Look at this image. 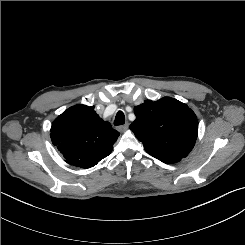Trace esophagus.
Masks as SVG:
<instances>
[{
    "label": "esophagus",
    "mask_w": 245,
    "mask_h": 245,
    "mask_svg": "<svg viewBox=\"0 0 245 245\" xmlns=\"http://www.w3.org/2000/svg\"><path fill=\"white\" fill-rule=\"evenodd\" d=\"M128 126H129V124H128V123H125V124L119 126V127H118V130H119L120 132H123V131H125V130L128 129Z\"/></svg>",
    "instance_id": "esophagus-1"
}]
</instances>
